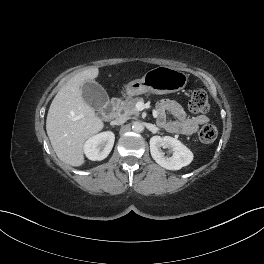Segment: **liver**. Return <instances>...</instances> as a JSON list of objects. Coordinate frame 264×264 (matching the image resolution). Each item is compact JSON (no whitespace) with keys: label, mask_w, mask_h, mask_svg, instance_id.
Instances as JSON below:
<instances>
[{"label":"liver","mask_w":264,"mask_h":264,"mask_svg":"<svg viewBox=\"0 0 264 264\" xmlns=\"http://www.w3.org/2000/svg\"><path fill=\"white\" fill-rule=\"evenodd\" d=\"M98 68L73 76L54 97L46 120V131L57 157L71 166L85 163V141L101 131L102 120L82 98V86L98 77Z\"/></svg>","instance_id":"6515ba94"}]
</instances>
